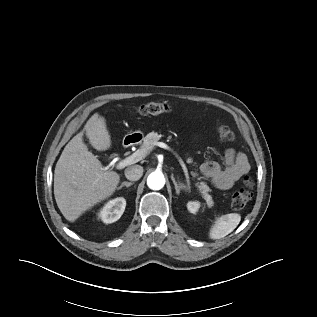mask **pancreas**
<instances>
[{"mask_svg": "<svg viewBox=\"0 0 317 317\" xmlns=\"http://www.w3.org/2000/svg\"><path fill=\"white\" fill-rule=\"evenodd\" d=\"M163 135L158 134L157 132H151L147 134L144 138L143 144L141 145V149L145 150L146 153L150 152L155 144L160 140ZM188 161L191 163L193 161L192 158H189ZM198 175L195 173V176ZM199 180L201 178H198ZM198 191L201 193L202 197L206 200L208 207H212L214 202L212 200L211 195L208 193L210 191L209 187L207 186L206 182H198L196 183Z\"/></svg>", "mask_w": 317, "mask_h": 317, "instance_id": "pancreas-1", "label": "pancreas"}]
</instances>
